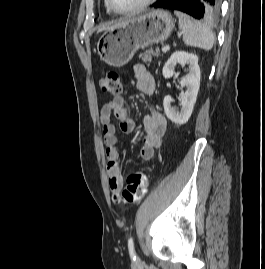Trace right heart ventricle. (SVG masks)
Wrapping results in <instances>:
<instances>
[{"label":"right heart ventricle","instance_id":"e07e8e85","mask_svg":"<svg viewBox=\"0 0 265 269\" xmlns=\"http://www.w3.org/2000/svg\"><path fill=\"white\" fill-rule=\"evenodd\" d=\"M105 7H106V11L107 12H110V10L108 9L107 5H106V2H105Z\"/></svg>","mask_w":265,"mask_h":269}]
</instances>
